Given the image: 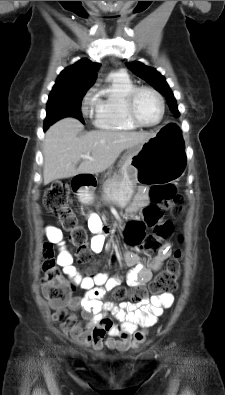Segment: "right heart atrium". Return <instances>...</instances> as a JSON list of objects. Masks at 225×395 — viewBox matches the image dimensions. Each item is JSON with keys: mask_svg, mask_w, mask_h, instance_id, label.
Returning <instances> with one entry per match:
<instances>
[{"mask_svg": "<svg viewBox=\"0 0 225 395\" xmlns=\"http://www.w3.org/2000/svg\"><path fill=\"white\" fill-rule=\"evenodd\" d=\"M89 100H90V95H88L86 100H85L84 107H83L84 113H87V111H88L87 110V104H88Z\"/></svg>", "mask_w": 225, "mask_h": 395, "instance_id": "d8ad5b80", "label": "right heart atrium"}]
</instances>
